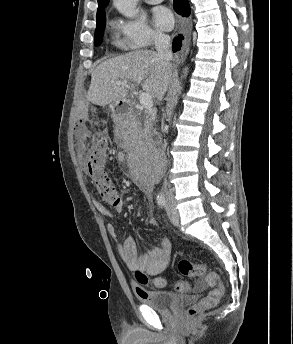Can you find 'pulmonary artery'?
Segmentation results:
<instances>
[{
	"mask_svg": "<svg viewBox=\"0 0 293 344\" xmlns=\"http://www.w3.org/2000/svg\"><path fill=\"white\" fill-rule=\"evenodd\" d=\"M145 1L148 4H158V3L162 2L163 0H145Z\"/></svg>",
	"mask_w": 293,
	"mask_h": 344,
	"instance_id": "e3ab8cb5",
	"label": "pulmonary artery"
}]
</instances>
